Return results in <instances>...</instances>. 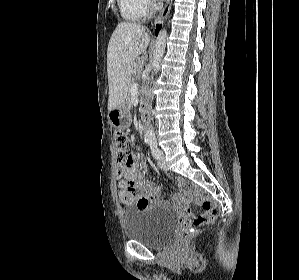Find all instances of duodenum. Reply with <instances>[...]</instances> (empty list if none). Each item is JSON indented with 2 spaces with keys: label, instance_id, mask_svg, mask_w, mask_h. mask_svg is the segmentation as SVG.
I'll return each instance as SVG.
<instances>
[{
  "label": "duodenum",
  "instance_id": "duodenum-1",
  "mask_svg": "<svg viewBox=\"0 0 299 280\" xmlns=\"http://www.w3.org/2000/svg\"><path fill=\"white\" fill-rule=\"evenodd\" d=\"M141 114H142L143 125L144 127H146L149 123L150 116H149L148 107L145 103H143L141 106Z\"/></svg>",
  "mask_w": 299,
  "mask_h": 280
}]
</instances>
